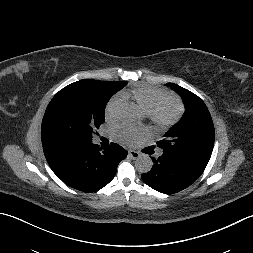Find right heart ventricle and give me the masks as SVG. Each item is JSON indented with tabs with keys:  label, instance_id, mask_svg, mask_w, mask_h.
Wrapping results in <instances>:
<instances>
[{
	"label": "right heart ventricle",
	"instance_id": "obj_1",
	"mask_svg": "<svg viewBox=\"0 0 253 253\" xmlns=\"http://www.w3.org/2000/svg\"><path fill=\"white\" fill-rule=\"evenodd\" d=\"M121 95L125 100L133 99L148 114L162 98L167 96V92L150 86L138 85L123 91Z\"/></svg>",
	"mask_w": 253,
	"mask_h": 253
}]
</instances>
